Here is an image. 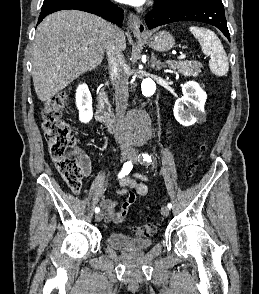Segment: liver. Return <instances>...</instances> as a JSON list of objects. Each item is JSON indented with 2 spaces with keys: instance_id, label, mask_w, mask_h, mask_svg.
I'll return each mask as SVG.
<instances>
[{
  "instance_id": "1",
  "label": "liver",
  "mask_w": 259,
  "mask_h": 294,
  "mask_svg": "<svg viewBox=\"0 0 259 294\" xmlns=\"http://www.w3.org/2000/svg\"><path fill=\"white\" fill-rule=\"evenodd\" d=\"M113 25L90 13L64 10L38 26L32 53V77L38 98L46 102L85 72L97 68ZM119 43L126 48L125 35Z\"/></svg>"
}]
</instances>
